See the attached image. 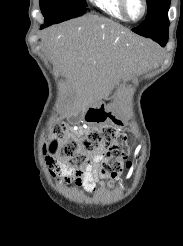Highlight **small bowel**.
Instances as JSON below:
<instances>
[{
	"label": "small bowel",
	"mask_w": 183,
	"mask_h": 246,
	"mask_svg": "<svg viewBox=\"0 0 183 246\" xmlns=\"http://www.w3.org/2000/svg\"><path fill=\"white\" fill-rule=\"evenodd\" d=\"M104 151L99 150L93 156L90 163L80 171L74 170L62 162L49 158L50 172L52 175L63 178L69 187L78 186L87 192H93L99 174V164L104 158Z\"/></svg>",
	"instance_id": "c3829d8e"
}]
</instances>
